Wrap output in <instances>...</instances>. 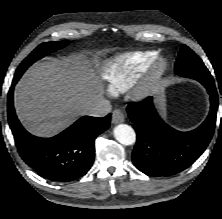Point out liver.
<instances>
[{
  "mask_svg": "<svg viewBox=\"0 0 222 219\" xmlns=\"http://www.w3.org/2000/svg\"><path fill=\"white\" fill-rule=\"evenodd\" d=\"M103 97L102 82L86 58L51 59L32 66L14 92L19 120L32 134L51 137Z\"/></svg>",
  "mask_w": 222,
  "mask_h": 219,
  "instance_id": "obj_1",
  "label": "liver"
}]
</instances>
